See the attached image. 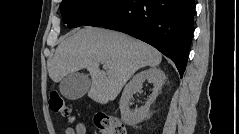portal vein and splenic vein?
<instances>
[{
    "mask_svg": "<svg viewBox=\"0 0 239 134\" xmlns=\"http://www.w3.org/2000/svg\"><path fill=\"white\" fill-rule=\"evenodd\" d=\"M103 67L105 68V69H107V67L103 64ZM107 71H108V69H107Z\"/></svg>",
    "mask_w": 239,
    "mask_h": 134,
    "instance_id": "1",
    "label": "portal vein and splenic vein"
}]
</instances>
